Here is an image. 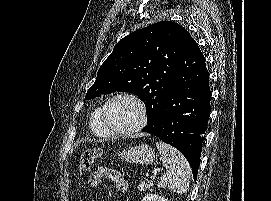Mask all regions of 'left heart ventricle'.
<instances>
[{
    "label": "left heart ventricle",
    "mask_w": 271,
    "mask_h": 201,
    "mask_svg": "<svg viewBox=\"0 0 271 201\" xmlns=\"http://www.w3.org/2000/svg\"><path fill=\"white\" fill-rule=\"evenodd\" d=\"M107 116L111 125L118 130H128L134 127L140 119L135 103L125 98L111 102L107 108Z\"/></svg>",
    "instance_id": "left-heart-ventricle-1"
}]
</instances>
